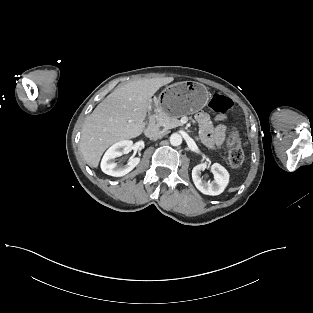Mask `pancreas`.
<instances>
[{
    "mask_svg": "<svg viewBox=\"0 0 313 313\" xmlns=\"http://www.w3.org/2000/svg\"><path fill=\"white\" fill-rule=\"evenodd\" d=\"M156 121L159 126L164 128V130L172 129L182 125L176 116H171L164 112H158L156 114Z\"/></svg>",
    "mask_w": 313,
    "mask_h": 313,
    "instance_id": "cf45deb5",
    "label": "pancreas"
}]
</instances>
